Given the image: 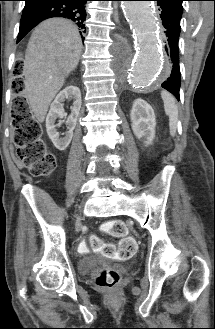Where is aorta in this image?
Wrapping results in <instances>:
<instances>
[{"instance_id": "1", "label": "aorta", "mask_w": 215, "mask_h": 329, "mask_svg": "<svg viewBox=\"0 0 215 329\" xmlns=\"http://www.w3.org/2000/svg\"><path fill=\"white\" fill-rule=\"evenodd\" d=\"M122 8L137 42L136 55L127 66L132 68L131 84L137 90H144L164 78L155 12L147 1H123Z\"/></svg>"}]
</instances>
